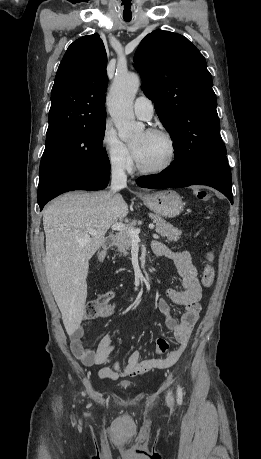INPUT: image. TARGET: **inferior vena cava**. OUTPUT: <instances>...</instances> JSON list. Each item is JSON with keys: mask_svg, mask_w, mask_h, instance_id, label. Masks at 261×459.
I'll return each instance as SVG.
<instances>
[{"mask_svg": "<svg viewBox=\"0 0 261 459\" xmlns=\"http://www.w3.org/2000/svg\"><path fill=\"white\" fill-rule=\"evenodd\" d=\"M112 180L110 194L113 198H117L119 195L117 192L127 186V176L124 171V164L117 162L112 165Z\"/></svg>", "mask_w": 261, "mask_h": 459, "instance_id": "1", "label": "inferior vena cava"}]
</instances>
